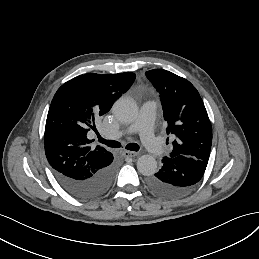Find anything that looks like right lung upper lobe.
Masks as SVG:
<instances>
[{"mask_svg":"<svg viewBox=\"0 0 259 259\" xmlns=\"http://www.w3.org/2000/svg\"><path fill=\"white\" fill-rule=\"evenodd\" d=\"M136 78L134 73L85 74L64 83L47 115L44 145L53 171L84 179L113 161L103 147L88 139L94 120L107 113Z\"/></svg>","mask_w":259,"mask_h":259,"instance_id":"1","label":"right lung upper lobe"}]
</instances>
